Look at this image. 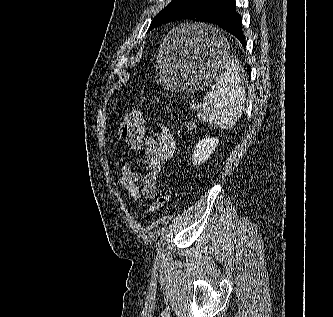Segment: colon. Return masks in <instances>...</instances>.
<instances>
[{"label": "colon", "instance_id": "colon-1", "mask_svg": "<svg viewBox=\"0 0 333 317\" xmlns=\"http://www.w3.org/2000/svg\"><path fill=\"white\" fill-rule=\"evenodd\" d=\"M185 127L187 129H193L194 127V121L191 119L186 120ZM170 199V194L168 192L161 193L156 200L149 205V207L146 210V213L148 215H151L158 211L160 208H162Z\"/></svg>", "mask_w": 333, "mask_h": 317}]
</instances>
